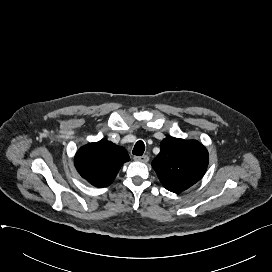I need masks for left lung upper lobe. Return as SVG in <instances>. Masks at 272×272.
Masks as SVG:
<instances>
[{
	"label": "left lung upper lobe",
	"mask_w": 272,
	"mask_h": 272,
	"mask_svg": "<svg viewBox=\"0 0 272 272\" xmlns=\"http://www.w3.org/2000/svg\"><path fill=\"white\" fill-rule=\"evenodd\" d=\"M208 162V151L198 141L167 137L152 167L167 190L180 193L203 177Z\"/></svg>",
	"instance_id": "5c2ea615"
}]
</instances>
